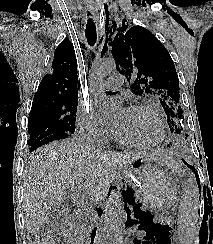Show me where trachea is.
Listing matches in <instances>:
<instances>
[{
  "instance_id": "3493384b",
  "label": "trachea",
  "mask_w": 213,
  "mask_h": 244,
  "mask_svg": "<svg viewBox=\"0 0 213 244\" xmlns=\"http://www.w3.org/2000/svg\"><path fill=\"white\" fill-rule=\"evenodd\" d=\"M85 36L87 38L89 45L93 46L96 43L97 40L96 25L92 19H88L87 21Z\"/></svg>"
}]
</instances>
